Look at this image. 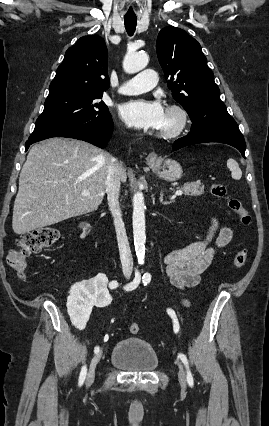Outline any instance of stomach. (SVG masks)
I'll return each instance as SVG.
<instances>
[{"mask_svg":"<svg viewBox=\"0 0 269 426\" xmlns=\"http://www.w3.org/2000/svg\"><path fill=\"white\" fill-rule=\"evenodd\" d=\"M150 167L158 177L166 181H176L183 175L181 165L174 159H162L158 163H151Z\"/></svg>","mask_w":269,"mask_h":426,"instance_id":"obj_1","label":"stomach"}]
</instances>
